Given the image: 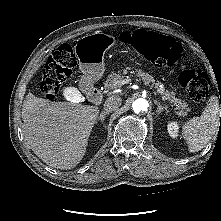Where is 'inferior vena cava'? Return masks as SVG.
<instances>
[{"label": "inferior vena cava", "mask_w": 221, "mask_h": 221, "mask_svg": "<svg viewBox=\"0 0 221 221\" xmlns=\"http://www.w3.org/2000/svg\"><path fill=\"white\" fill-rule=\"evenodd\" d=\"M122 104V99L119 96L109 97L104 104V112H112L117 110Z\"/></svg>", "instance_id": "602c4592"}]
</instances>
